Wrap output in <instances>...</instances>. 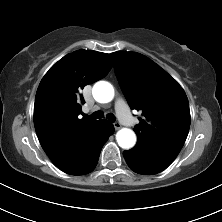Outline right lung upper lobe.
<instances>
[{"label":"right lung upper lobe","mask_w":222,"mask_h":222,"mask_svg":"<svg viewBox=\"0 0 222 222\" xmlns=\"http://www.w3.org/2000/svg\"><path fill=\"white\" fill-rule=\"evenodd\" d=\"M112 68L107 53L78 50L55 63L41 80L34 104L39 141L62 171L78 166L89 150L87 141L101 120L81 118L80 91L105 77Z\"/></svg>","instance_id":"obj_1"}]
</instances>
